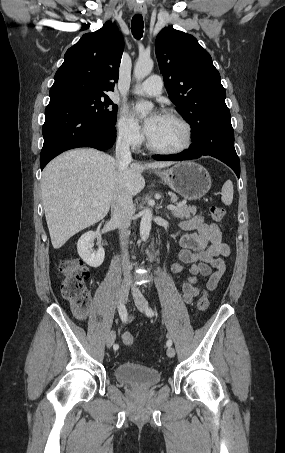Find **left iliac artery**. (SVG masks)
Here are the masks:
<instances>
[{"label": "left iliac artery", "instance_id": "44dca946", "mask_svg": "<svg viewBox=\"0 0 285 453\" xmlns=\"http://www.w3.org/2000/svg\"><path fill=\"white\" fill-rule=\"evenodd\" d=\"M154 314L155 313H154V311L151 308H146V315L148 317H152V316H154ZM166 344H167L168 347L171 346L172 345V340L171 339L167 340Z\"/></svg>", "mask_w": 285, "mask_h": 453}]
</instances>
